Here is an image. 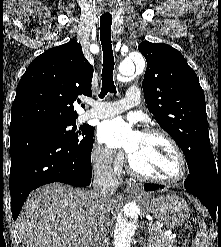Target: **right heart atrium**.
I'll use <instances>...</instances> for the list:
<instances>
[{
	"label": "right heart atrium",
	"mask_w": 221,
	"mask_h": 247,
	"mask_svg": "<svg viewBox=\"0 0 221 247\" xmlns=\"http://www.w3.org/2000/svg\"><path fill=\"white\" fill-rule=\"evenodd\" d=\"M92 160L96 168L110 170L115 174L120 173L123 168V156L100 145L93 149Z\"/></svg>",
	"instance_id": "obj_1"
}]
</instances>
